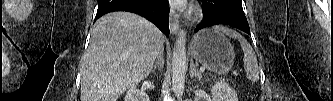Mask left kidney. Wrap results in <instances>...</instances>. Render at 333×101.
Segmentation results:
<instances>
[{
	"label": "left kidney",
	"instance_id": "1",
	"mask_svg": "<svg viewBox=\"0 0 333 101\" xmlns=\"http://www.w3.org/2000/svg\"><path fill=\"white\" fill-rule=\"evenodd\" d=\"M212 101H238L236 91L224 81L217 82L212 86Z\"/></svg>",
	"mask_w": 333,
	"mask_h": 101
}]
</instances>
